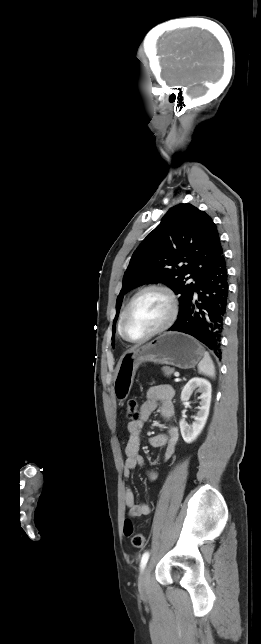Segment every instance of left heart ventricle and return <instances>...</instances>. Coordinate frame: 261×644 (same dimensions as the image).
<instances>
[{
    "instance_id": "obj_1",
    "label": "left heart ventricle",
    "mask_w": 261,
    "mask_h": 644,
    "mask_svg": "<svg viewBox=\"0 0 261 644\" xmlns=\"http://www.w3.org/2000/svg\"><path fill=\"white\" fill-rule=\"evenodd\" d=\"M169 312V301L162 292L151 290L143 293L134 302L127 319L129 336H146L166 321Z\"/></svg>"
}]
</instances>
